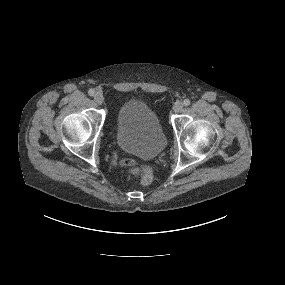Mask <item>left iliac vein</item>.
<instances>
[{"instance_id":"obj_1","label":"left iliac vein","mask_w":285,"mask_h":285,"mask_svg":"<svg viewBox=\"0 0 285 285\" xmlns=\"http://www.w3.org/2000/svg\"><path fill=\"white\" fill-rule=\"evenodd\" d=\"M182 109H183V104L181 102L176 103L173 107L175 113L181 112Z\"/></svg>"}]
</instances>
